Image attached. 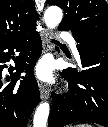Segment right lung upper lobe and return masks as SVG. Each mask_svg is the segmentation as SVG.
Instances as JSON below:
<instances>
[{
	"label": "right lung upper lobe",
	"instance_id": "right-lung-upper-lobe-1",
	"mask_svg": "<svg viewBox=\"0 0 108 127\" xmlns=\"http://www.w3.org/2000/svg\"><path fill=\"white\" fill-rule=\"evenodd\" d=\"M37 20L33 0H0V41L27 34L35 29Z\"/></svg>",
	"mask_w": 108,
	"mask_h": 127
}]
</instances>
